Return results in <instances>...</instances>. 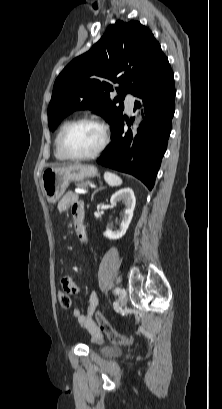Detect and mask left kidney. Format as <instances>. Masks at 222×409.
I'll return each mask as SVG.
<instances>
[{
  "label": "left kidney",
  "mask_w": 222,
  "mask_h": 409,
  "mask_svg": "<svg viewBox=\"0 0 222 409\" xmlns=\"http://www.w3.org/2000/svg\"><path fill=\"white\" fill-rule=\"evenodd\" d=\"M123 201L125 203V211L122 216V221L119 230L112 231L107 229L104 236L116 240L123 237L131 223L133 212L136 204L134 192L131 188H123L112 195L110 199L111 206H116L117 202Z\"/></svg>",
  "instance_id": "obj_1"
}]
</instances>
